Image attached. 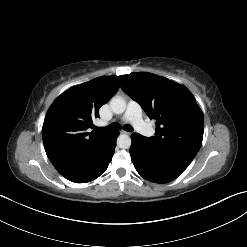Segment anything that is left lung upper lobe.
Listing matches in <instances>:
<instances>
[{"mask_svg": "<svg viewBox=\"0 0 247 247\" xmlns=\"http://www.w3.org/2000/svg\"><path fill=\"white\" fill-rule=\"evenodd\" d=\"M119 78L122 90L156 120L155 136L149 139L163 151L191 162L204 131L203 113L192 94L184 86L150 73Z\"/></svg>", "mask_w": 247, "mask_h": 247, "instance_id": "obj_1", "label": "left lung upper lobe"}]
</instances>
